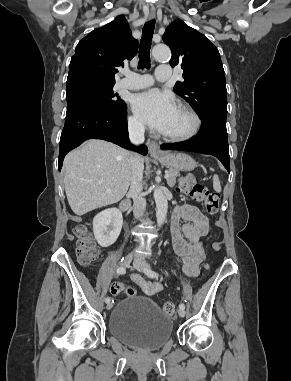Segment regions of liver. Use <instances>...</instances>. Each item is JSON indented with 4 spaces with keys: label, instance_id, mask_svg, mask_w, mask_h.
I'll return each instance as SVG.
<instances>
[{
    "label": "liver",
    "instance_id": "1",
    "mask_svg": "<svg viewBox=\"0 0 291 381\" xmlns=\"http://www.w3.org/2000/svg\"><path fill=\"white\" fill-rule=\"evenodd\" d=\"M130 158V152L102 140L86 141L68 153L64 184L72 211L82 216L120 201L131 182Z\"/></svg>",
    "mask_w": 291,
    "mask_h": 381
}]
</instances>
